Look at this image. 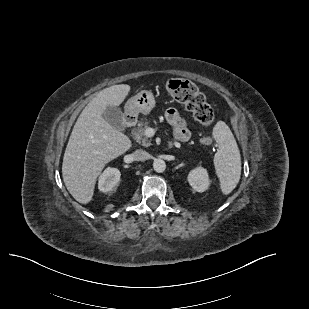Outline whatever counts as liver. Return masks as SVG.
<instances>
[{
	"instance_id": "1",
	"label": "liver",
	"mask_w": 309,
	"mask_h": 309,
	"mask_svg": "<svg viewBox=\"0 0 309 309\" xmlns=\"http://www.w3.org/2000/svg\"><path fill=\"white\" fill-rule=\"evenodd\" d=\"M130 89L126 84L103 89L74 125L63 157L62 176L67 190L79 203L92 200L96 179L104 166L131 148L130 139L103 118L104 110L122 104Z\"/></svg>"
}]
</instances>
